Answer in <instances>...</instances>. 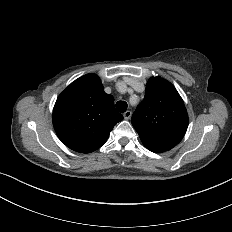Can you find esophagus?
<instances>
[{"label":"esophagus","instance_id":"34e87169","mask_svg":"<svg viewBox=\"0 0 232 232\" xmlns=\"http://www.w3.org/2000/svg\"><path fill=\"white\" fill-rule=\"evenodd\" d=\"M131 115H132V112L129 111V110H128V111H125L124 114H123V116H124V118H125L126 120L130 119Z\"/></svg>","mask_w":232,"mask_h":232}]
</instances>
